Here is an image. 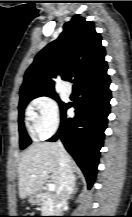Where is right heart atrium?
Listing matches in <instances>:
<instances>
[{
    "label": "right heart atrium",
    "mask_w": 132,
    "mask_h": 217,
    "mask_svg": "<svg viewBox=\"0 0 132 217\" xmlns=\"http://www.w3.org/2000/svg\"><path fill=\"white\" fill-rule=\"evenodd\" d=\"M36 110L35 131L40 138L54 134L59 127L60 114L56 100L51 96H41L33 100Z\"/></svg>",
    "instance_id": "right-heart-atrium-1"
}]
</instances>
